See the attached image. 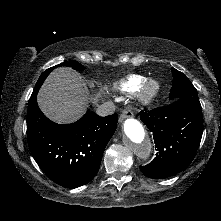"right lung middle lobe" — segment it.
Here are the masks:
<instances>
[{
  "mask_svg": "<svg viewBox=\"0 0 221 221\" xmlns=\"http://www.w3.org/2000/svg\"><path fill=\"white\" fill-rule=\"evenodd\" d=\"M58 66H69L72 67L75 70H84L83 65H81L80 63H78L77 61H65L57 66L51 67L49 69H47L46 71H44L41 76L39 77V80L36 83L35 87H39L42 85V83L44 82L45 78L48 76V74L56 67Z\"/></svg>",
  "mask_w": 221,
  "mask_h": 221,
  "instance_id": "dd1d6c3e",
  "label": "right lung middle lobe"
}]
</instances>
